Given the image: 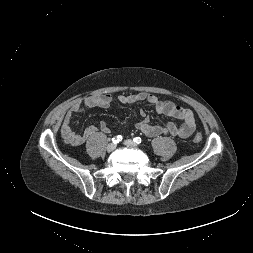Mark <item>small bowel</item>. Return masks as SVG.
<instances>
[{
    "label": "small bowel",
    "mask_w": 253,
    "mask_h": 253,
    "mask_svg": "<svg viewBox=\"0 0 253 253\" xmlns=\"http://www.w3.org/2000/svg\"><path fill=\"white\" fill-rule=\"evenodd\" d=\"M118 101L122 104H134L147 101L155 107L157 113L183 121L179 126L174 122H168L165 125H152L150 124L146 112L140 110V115L143 119L136 125V127L146 136L156 137L162 134H168L180 138H187L191 136L195 130L196 124L192 111L180 107L171 101L161 100L155 95L145 92L137 94H121L118 96ZM113 102L114 97L110 94L93 95L75 101L66 113L61 125V135L64 141L71 146H80L84 144L90 136L97 132L98 128L94 125H90L86 127L82 133L75 132L72 128L74 115L90 108H108ZM100 129L105 133L110 131L105 122L100 124Z\"/></svg>",
    "instance_id": "1"
}]
</instances>
